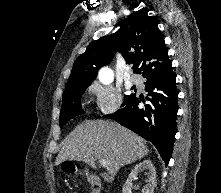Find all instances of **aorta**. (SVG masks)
<instances>
[{
    "mask_svg": "<svg viewBox=\"0 0 221 193\" xmlns=\"http://www.w3.org/2000/svg\"><path fill=\"white\" fill-rule=\"evenodd\" d=\"M101 81L103 83H109L112 80V72L109 69H103L101 72Z\"/></svg>",
    "mask_w": 221,
    "mask_h": 193,
    "instance_id": "aorta-1",
    "label": "aorta"
}]
</instances>
